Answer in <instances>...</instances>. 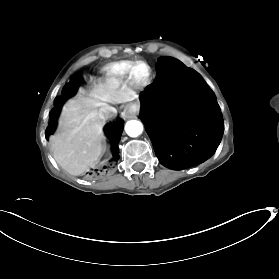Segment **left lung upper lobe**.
<instances>
[{
	"mask_svg": "<svg viewBox=\"0 0 279 279\" xmlns=\"http://www.w3.org/2000/svg\"><path fill=\"white\" fill-rule=\"evenodd\" d=\"M163 58H165V57L159 58L158 61L162 60Z\"/></svg>",
	"mask_w": 279,
	"mask_h": 279,
	"instance_id": "5c2ea615",
	"label": "left lung upper lobe"
}]
</instances>
